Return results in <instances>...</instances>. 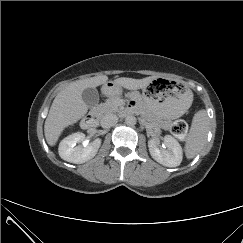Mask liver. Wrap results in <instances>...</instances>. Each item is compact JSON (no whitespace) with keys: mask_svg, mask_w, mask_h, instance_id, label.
I'll list each match as a JSON object with an SVG mask.
<instances>
[{"mask_svg":"<svg viewBox=\"0 0 243 243\" xmlns=\"http://www.w3.org/2000/svg\"><path fill=\"white\" fill-rule=\"evenodd\" d=\"M155 78V76L143 79L121 77L115 79L114 83L128 90H137L147 87ZM107 81L106 75L78 80L69 84L57 94L44 124L45 138L50 146L56 144L66 127L76 123L87 113L88 106L82 99V92L86 88H95Z\"/></svg>","mask_w":243,"mask_h":243,"instance_id":"6515ba94","label":"liver"}]
</instances>
